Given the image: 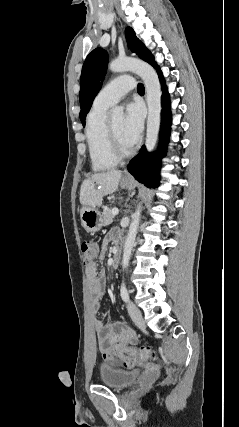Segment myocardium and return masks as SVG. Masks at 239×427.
Wrapping results in <instances>:
<instances>
[{
  "label": "myocardium",
  "instance_id": "1",
  "mask_svg": "<svg viewBox=\"0 0 239 427\" xmlns=\"http://www.w3.org/2000/svg\"><path fill=\"white\" fill-rule=\"evenodd\" d=\"M107 129H108V142H109V147H110V151H111L112 155L117 160H121V159H125V158L130 157L134 153L135 149L132 147L128 150H124L120 146V144L117 140V137H116L110 123H108Z\"/></svg>",
  "mask_w": 239,
  "mask_h": 427
}]
</instances>
